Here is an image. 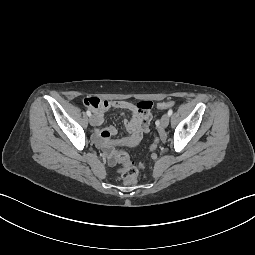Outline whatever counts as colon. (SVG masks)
Listing matches in <instances>:
<instances>
[{"label": "colon", "mask_w": 255, "mask_h": 255, "mask_svg": "<svg viewBox=\"0 0 255 255\" xmlns=\"http://www.w3.org/2000/svg\"><path fill=\"white\" fill-rule=\"evenodd\" d=\"M85 103L92 104L93 101L90 99H86ZM174 104L173 101H164L158 104V107L160 109H166ZM155 145H153V148ZM116 160L117 162L122 165V168L120 169V173L123 179V182L127 186H132L137 182L138 175H139V169L137 166H135L133 163L130 162L129 155L126 151L120 150L116 154Z\"/></svg>", "instance_id": "5ec220e1"}]
</instances>
